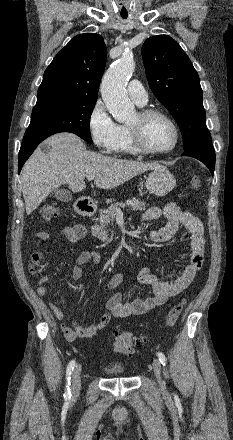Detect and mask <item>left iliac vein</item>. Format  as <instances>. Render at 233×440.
Here are the masks:
<instances>
[{
	"mask_svg": "<svg viewBox=\"0 0 233 440\" xmlns=\"http://www.w3.org/2000/svg\"><path fill=\"white\" fill-rule=\"evenodd\" d=\"M153 370H154V373H155V375L157 377L158 384H159L161 390L165 391V389H166L165 383H164V381L162 380V377H161V363H160V361L158 359H154L153 360Z\"/></svg>",
	"mask_w": 233,
	"mask_h": 440,
	"instance_id": "1",
	"label": "left iliac vein"
}]
</instances>
